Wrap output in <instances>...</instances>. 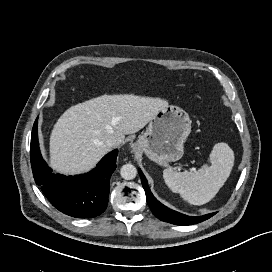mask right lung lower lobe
Instances as JSON below:
<instances>
[{"mask_svg":"<svg viewBox=\"0 0 272 272\" xmlns=\"http://www.w3.org/2000/svg\"><path fill=\"white\" fill-rule=\"evenodd\" d=\"M37 123L31 134V166L35 182L52 205L66 215L93 218L105 211L110 191V177L116 169L118 150L105 155L87 174L64 176L52 173L43 160L38 143Z\"/></svg>","mask_w":272,"mask_h":272,"instance_id":"obj_1","label":"right lung lower lobe"}]
</instances>
